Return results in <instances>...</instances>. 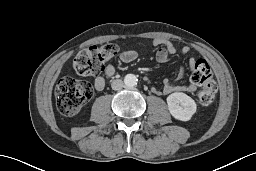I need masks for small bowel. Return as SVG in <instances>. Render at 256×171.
Wrapping results in <instances>:
<instances>
[{
	"label": "small bowel",
	"instance_id": "1",
	"mask_svg": "<svg viewBox=\"0 0 256 171\" xmlns=\"http://www.w3.org/2000/svg\"><path fill=\"white\" fill-rule=\"evenodd\" d=\"M154 46H156V60L159 63H167L172 54L177 52H181L184 55H188L191 53V48L188 46L177 47L172 42L164 38H157L153 41ZM137 53L133 50L126 51L121 54L120 59L122 62L129 63L136 59ZM194 59H190V65H193ZM115 74V68L113 65H107L104 67L102 74L98 75L94 79V88L97 91H101L104 89L106 84V79L111 78ZM185 75V68H182L180 74L176 80H166L162 86V88L152 87L151 91L157 95H167L172 92H193L195 90V86L193 84H189L186 86L180 85L178 82L183 79Z\"/></svg>",
	"mask_w": 256,
	"mask_h": 171
}]
</instances>
